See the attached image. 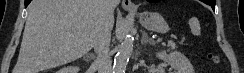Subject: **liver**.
Listing matches in <instances>:
<instances>
[{
  "label": "liver",
  "mask_w": 244,
  "mask_h": 73,
  "mask_svg": "<svg viewBox=\"0 0 244 73\" xmlns=\"http://www.w3.org/2000/svg\"><path fill=\"white\" fill-rule=\"evenodd\" d=\"M101 0H32L13 73H40L70 63L94 46ZM111 29L114 16L109 19Z\"/></svg>",
  "instance_id": "6515ba94"
}]
</instances>
